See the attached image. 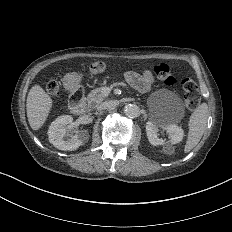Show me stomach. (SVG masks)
Masks as SVG:
<instances>
[{"label":"stomach","instance_id":"1","mask_svg":"<svg viewBox=\"0 0 232 232\" xmlns=\"http://www.w3.org/2000/svg\"><path fill=\"white\" fill-rule=\"evenodd\" d=\"M78 76V80L80 81V76L79 75H77Z\"/></svg>","mask_w":232,"mask_h":232}]
</instances>
